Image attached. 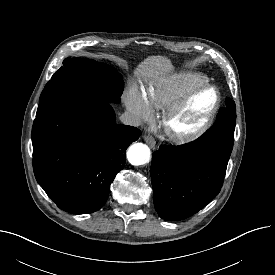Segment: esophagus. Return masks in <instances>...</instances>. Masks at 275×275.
<instances>
[{
  "label": "esophagus",
  "mask_w": 275,
  "mask_h": 275,
  "mask_svg": "<svg viewBox=\"0 0 275 275\" xmlns=\"http://www.w3.org/2000/svg\"><path fill=\"white\" fill-rule=\"evenodd\" d=\"M144 139H145V141H146V143L151 147V148H155V146H156V142H155V139L152 137V136H150V135H145L144 136Z\"/></svg>",
  "instance_id": "esophagus-1"
}]
</instances>
